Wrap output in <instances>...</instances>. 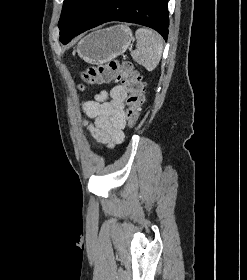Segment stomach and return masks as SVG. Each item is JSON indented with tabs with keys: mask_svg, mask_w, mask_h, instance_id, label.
I'll list each match as a JSON object with an SVG mask.
<instances>
[{
	"mask_svg": "<svg viewBox=\"0 0 247 280\" xmlns=\"http://www.w3.org/2000/svg\"><path fill=\"white\" fill-rule=\"evenodd\" d=\"M132 40V31L125 25L99 29L78 43L77 53L84 61L99 65L123 54Z\"/></svg>",
	"mask_w": 247,
	"mask_h": 280,
	"instance_id": "0dacf381",
	"label": "stomach"
}]
</instances>
